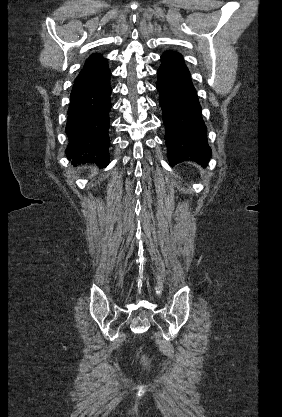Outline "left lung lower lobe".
I'll return each instance as SVG.
<instances>
[{
    "label": "left lung lower lobe",
    "mask_w": 282,
    "mask_h": 417,
    "mask_svg": "<svg viewBox=\"0 0 282 417\" xmlns=\"http://www.w3.org/2000/svg\"><path fill=\"white\" fill-rule=\"evenodd\" d=\"M158 69L157 89L166 128L170 166L196 161L205 167L211 157L201 106L181 54L166 51Z\"/></svg>",
    "instance_id": "left-lung-lower-lobe-1"
}]
</instances>
